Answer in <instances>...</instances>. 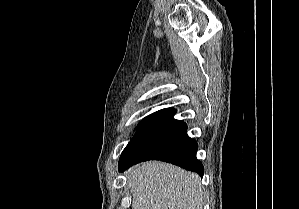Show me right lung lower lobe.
I'll use <instances>...</instances> for the list:
<instances>
[{"label":"right lung lower lobe","instance_id":"obj_1","mask_svg":"<svg viewBox=\"0 0 299 209\" xmlns=\"http://www.w3.org/2000/svg\"><path fill=\"white\" fill-rule=\"evenodd\" d=\"M175 113L167 108L151 115L123 150L119 171L142 161L161 160L203 176L204 167L196 158L197 142L186 134V124L173 118Z\"/></svg>","mask_w":299,"mask_h":209}]
</instances>
